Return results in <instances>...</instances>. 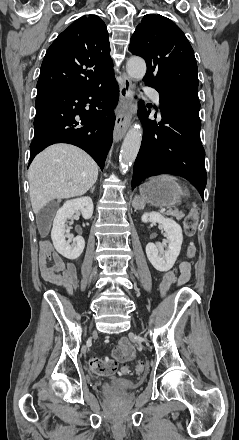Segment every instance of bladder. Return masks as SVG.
Returning a JSON list of instances; mask_svg holds the SVG:
<instances>
[{"label":"bladder","instance_id":"1","mask_svg":"<svg viewBox=\"0 0 239 440\" xmlns=\"http://www.w3.org/2000/svg\"><path fill=\"white\" fill-rule=\"evenodd\" d=\"M118 386H120L123 389H134L137 387V384L135 381L133 380H129V379H120L117 381Z\"/></svg>","mask_w":239,"mask_h":440}]
</instances>
